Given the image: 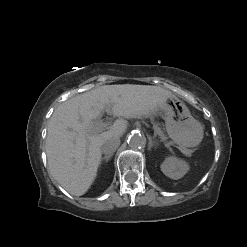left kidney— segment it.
I'll return each instance as SVG.
<instances>
[{
    "instance_id": "5707ae66",
    "label": "left kidney",
    "mask_w": 247,
    "mask_h": 247,
    "mask_svg": "<svg viewBox=\"0 0 247 247\" xmlns=\"http://www.w3.org/2000/svg\"><path fill=\"white\" fill-rule=\"evenodd\" d=\"M160 168L167 177L178 180L188 172L189 165L184 160L171 156L164 160Z\"/></svg>"
}]
</instances>
